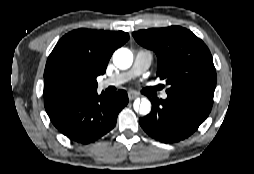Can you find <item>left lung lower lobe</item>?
Wrapping results in <instances>:
<instances>
[{
    "label": "left lung lower lobe",
    "mask_w": 254,
    "mask_h": 174,
    "mask_svg": "<svg viewBox=\"0 0 254 174\" xmlns=\"http://www.w3.org/2000/svg\"><path fill=\"white\" fill-rule=\"evenodd\" d=\"M151 102L150 114L140 118L139 123L149 136L164 143H175L193 134L208 117L213 104L181 94Z\"/></svg>",
    "instance_id": "obj_1"
}]
</instances>
